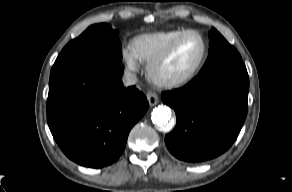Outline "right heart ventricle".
Returning <instances> with one entry per match:
<instances>
[{
  "mask_svg": "<svg viewBox=\"0 0 292 192\" xmlns=\"http://www.w3.org/2000/svg\"><path fill=\"white\" fill-rule=\"evenodd\" d=\"M185 31L186 29L178 28L141 34L133 39L131 48L140 62L149 64Z\"/></svg>",
  "mask_w": 292,
  "mask_h": 192,
  "instance_id": "right-heart-ventricle-1",
  "label": "right heart ventricle"
}]
</instances>
